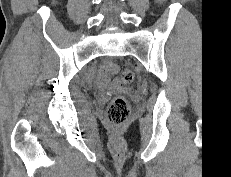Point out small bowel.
Listing matches in <instances>:
<instances>
[{
  "instance_id": "c3829d8e",
  "label": "small bowel",
  "mask_w": 231,
  "mask_h": 177,
  "mask_svg": "<svg viewBox=\"0 0 231 177\" xmlns=\"http://www.w3.org/2000/svg\"><path fill=\"white\" fill-rule=\"evenodd\" d=\"M118 71V66L110 61H107L102 66L98 79L97 84L102 90H106L110 87V85L114 88H117L120 84L118 79H114L111 83L110 75L115 74Z\"/></svg>"
}]
</instances>
